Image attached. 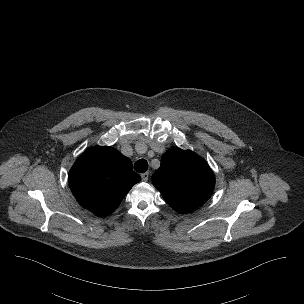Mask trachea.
Instances as JSON below:
<instances>
[{
    "mask_svg": "<svg viewBox=\"0 0 304 304\" xmlns=\"http://www.w3.org/2000/svg\"><path fill=\"white\" fill-rule=\"evenodd\" d=\"M135 171L139 173H145L148 169V163L145 159H140L134 164Z\"/></svg>",
    "mask_w": 304,
    "mask_h": 304,
    "instance_id": "trachea-1",
    "label": "trachea"
}]
</instances>
